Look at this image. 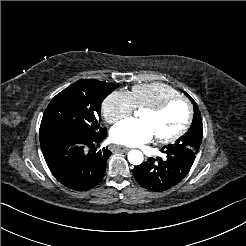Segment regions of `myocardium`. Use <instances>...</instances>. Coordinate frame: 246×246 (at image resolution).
I'll return each instance as SVG.
<instances>
[{
    "label": "myocardium",
    "mask_w": 246,
    "mask_h": 246,
    "mask_svg": "<svg viewBox=\"0 0 246 246\" xmlns=\"http://www.w3.org/2000/svg\"><path fill=\"white\" fill-rule=\"evenodd\" d=\"M175 102H182L186 108V115H185V120L182 124V126L174 133L171 135L165 136V137H156V140L161 143V144H167L171 143L175 140H177L180 136H182L189 128L191 121H192V105L191 103L182 95H176L173 97H170L161 103L146 107L143 110L148 111L151 114L157 115L163 112L165 109H167L170 105H172Z\"/></svg>",
    "instance_id": "f54148a6"
}]
</instances>
